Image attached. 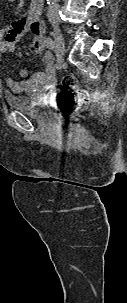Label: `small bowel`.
Returning <instances> with one entry per match:
<instances>
[{
  "label": "small bowel",
  "mask_w": 127,
  "mask_h": 303,
  "mask_svg": "<svg viewBox=\"0 0 127 303\" xmlns=\"http://www.w3.org/2000/svg\"><path fill=\"white\" fill-rule=\"evenodd\" d=\"M15 2L16 0H8ZM22 4L16 7L20 10ZM43 8V0H30L28 10L19 19L0 29V62L2 54L5 52H13L15 44L26 34L32 33L33 39L30 50L33 53L43 52L42 61L45 66L43 72H36L29 77L28 70L22 68L20 70L21 81H17L11 77L6 78V86L13 92H35L41 86H51L53 84L55 67L53 55L49 51H44L46 39L44 37L45 25L41 20Z\"/></svg>",
  "instance_id": "1"
}]
</instances>
